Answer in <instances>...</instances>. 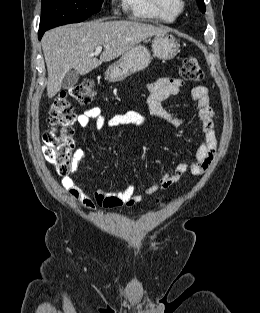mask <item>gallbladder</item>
Listing matches in <instances>:
<instances>
[{
    "mask_svg": "<svg viewBox=\"0 0 260 313\" xmlns=\"http://www.w3.org/2000/svg\"><path fill=\"white\" fill-rule=\"evenodd\" d=\"M79 74L75 70H70L63 78L62 87L71 89L78 82Z\"/></svg>",
    "mask_w": 260,
    "mask_h": 313,
    "instance_id": "bac80fb5",
    "label": "gallbladder"
}]
</instances>
